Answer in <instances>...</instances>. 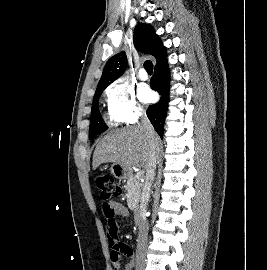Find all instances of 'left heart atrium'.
<instances>
[{"instance_id":"left-heart-atrium-1","label":"left heart atrium","mask_w":267,"mask_h":270,"mask_svg":"<svg viewBox=\"0 0 267 270\" xmlns=\"http://www.w3.org/2000/svg\"><path fill=\"white\" fill-rule=\"evenodd\" d=\"M138 96H139V99L143 103L151 102L153 100V97H154L152 91L146 85L139 86V88H138Z\"/></svg>"}]
</instances>
